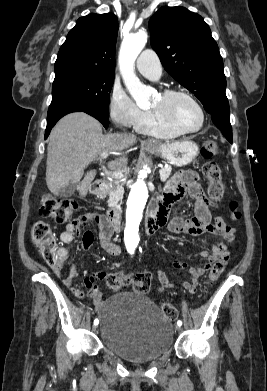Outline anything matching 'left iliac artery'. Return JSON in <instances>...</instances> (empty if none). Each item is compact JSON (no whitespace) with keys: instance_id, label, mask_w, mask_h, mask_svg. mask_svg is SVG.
Wrapping results in <instances>:
<instances>
[{"instance_id":"44dca946","label":"left iliac artery","mask_w":267,"mask_h":391,"mask_svg":"<svg viewBox=\"0 0 267 391\" xmlns=\"http://www.w3.org/2000/svg\"><path fill=\"white\" fill-rule=\"evenodd\" d=\"M177 324H178L179 326H181V325H182V321L179 320V321L177 322Z\"/></svg>"}]
</instances>
